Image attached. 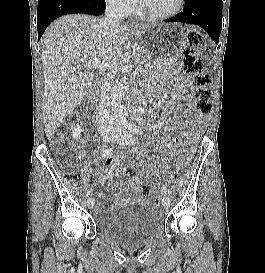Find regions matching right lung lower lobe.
<instances>
[{"mask_svg":"<svg viewBox=\"0 0 265 273\" xmlns=\"http://www.w3.org/2000/svg\"><path fill=\"white\" fill-rule=\"evenodd\" d=\"M105 9V0H38V40L47 26L62 15L75 13L101 15Z\"/></svg>","mask_w":265,"mask_h":273,"instance_id":"1","label":"right lung lower lobe"}]
</instances>
